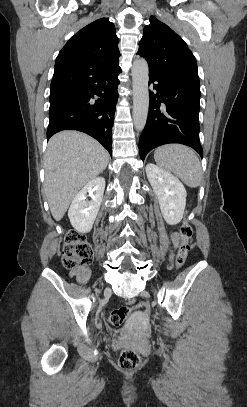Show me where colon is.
Masks as SVG:
<instances>
[{"label":"colon","instance_id":"colon-1","mask_svg":"<svg viewBox=\"0 0 247 407\" xmlns=\"http://www.w3.org/2000/svg\"><path fill=\"white\" fill-rule=\"evenodd\" d=\"M192 227L188 221H184L179 227L181 243L176 259V267L181 268L186 261L190 250V238L192 236ZM93 258V250L86 241L83 234L70 230L65 236V244L62 253L63 265L66 268L73 269L79 266H87ZM145 301L137 302L135 298L127 300V306L109 313L108 320L112 325L118 326L123 323L132 309L148 308ZM118 367L126 372L136 370L141 365L140 356L132 350H123L118 358Z\"/></svg>","mask_w":247,"mask_h":407}]
</instances>
